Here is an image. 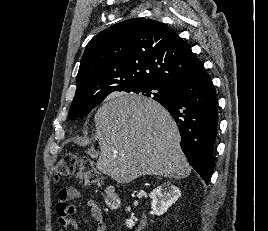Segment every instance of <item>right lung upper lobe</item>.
<instances>
[{
  "label": "right lung upper lobe",
  "mask_w": 268,
  "mask_h": 231,
  "mask_svg": "<svg viewBox=\"0 0 268 231\" xmlns=\"http://www.w3.org/2000/svg\"><path fill=\"white\" fill-rule=\"evenodd\" d=\"M203 69L190 46L165 24L129 19L108 27L88 43L73 103L89 105L114 91L144 84L167 87Z\"/></svg>",
  "instance_id": "1"
}]
</instances>
